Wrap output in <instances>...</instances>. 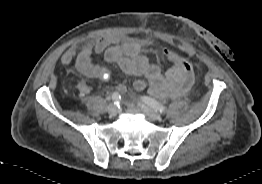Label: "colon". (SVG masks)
<instances>
[{
	"instance_id": "5ec220e1",
	"label": "colon",
	"mask_w": 262,
	"mask_h": 184,
	"mask_svg": "<svg viewBox=\"0 0 262 184\" xmlns=\"http://www.w3.org/2000/svg\"><path fill=\"white\" fill-rule=\"evenodd\" d=\"M175 59L180 64L184 72V77L181 84L173 93V97H180L187 93L194 83V66L190 60L178 53H176ZM119 89L124 91L123 86H119Z\"/></svg>"
}]
</instances>
